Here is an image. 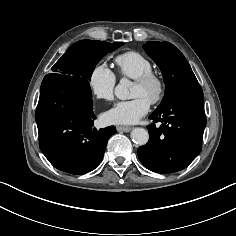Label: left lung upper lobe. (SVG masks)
<instances>
[{"mask_svg":"<svg viewBox=\"0 0 236 236\" xmlns=\"http://www.w3.org/2000/svg\"><path fill=\"white\" fill-rule=\"evenodd\" d=\"M143 48L159 66L165 82V95L157 108L163 107L180 90L200 86L186 58L174 45L147 42Z\"/></svg>","mask_w":236,"mask_h":236,"instance_id":"5c2ea615","label":"left lung upper lobe"}]
</instances>
